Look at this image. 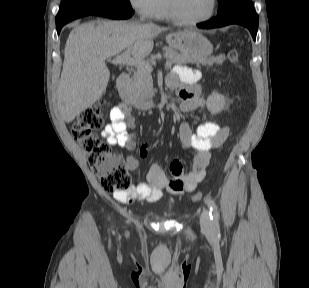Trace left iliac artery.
Returning <instances> with one entry per match:
<instances>
[{
	"mask_svg": "<svg viewBox=\"0 0 309 288\" xmlns=\"http://www.w3.org/2000/svg\"><path fill=\"white\" fill-rule=\"evenodd\" d=\"M207 204L209 208L210 219L212 220V225L214 231L219 229V212L215 202L211 199H207Z\"/></svg>",
	"mask_w": 309,
	"mask_h": 288,
	"instance_id": "44dca946",
	"label": "left iliac artery"
}]
</instances>
